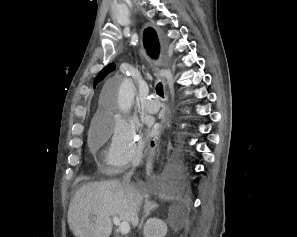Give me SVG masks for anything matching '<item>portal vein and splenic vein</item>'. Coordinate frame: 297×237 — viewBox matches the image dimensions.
I'll use <instances>...</instances> for the list:
<instances>
[{
    "mask_svg": "<svg viewBox=\"0 0 297 237\" xmlns=\"http://www.w3.org/2000/svg\"><path fill=\"white\" fill-rule=\"evenodd\" d=\"M113 223L116 226H119V231L121 234L125 235L128 234L130 232V225L128 222L123 221L121 222L120 219L117 216L113 217Z\"/></svg>",
    "mask_w": 297,
    "mask_h": 237,
    "instance_id": "obj_1",
    "label": "portal vein and splenic vein"
}]
</instances>
